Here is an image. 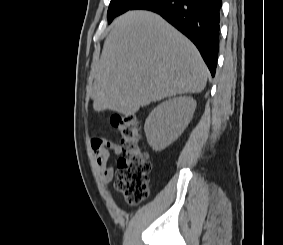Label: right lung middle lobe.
Returning a JSON list of instances; mask_svg holds the SVG:
<instances>
[{
	"mask_svg": "<svg viewBox=\"0 0 283 245\" xmlns=\"http://www.w3.org/2000/svg\"><path fill=\"white\" fill-rule=\"evenodd\" d=\"M141 0H111L107 17L110 23L114 17L132 9Z\"/></svg>",
	"mask_w": 283,
	"mask_h": 245,
	"instance_id": "dd1d6c3e",
	"label": "right lung middle lobe"
}]
</instances>
